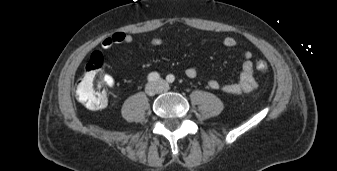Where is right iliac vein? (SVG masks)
Instances as JSON below:
<instances>
[{
  "label": "right iliac vein",
  "instance_id": "right-iliac-vein-1",
  "mask_svg": "<svg viewBox=\"0 0 337 171\" xmlns=\"http://www.w3.org/2000/svg\"><path fill=\"white\" fill-rule=\"evenodd\" d=\"M145 91L149 96H154L155 94L159 92V87L157 84L149 83L146 86Z\"/></svg>",
  "mask_w": 337,
  "mask_h": 171
}]
</instances>
